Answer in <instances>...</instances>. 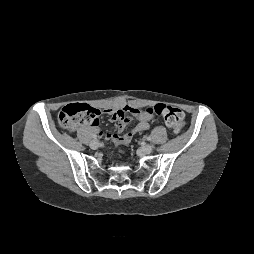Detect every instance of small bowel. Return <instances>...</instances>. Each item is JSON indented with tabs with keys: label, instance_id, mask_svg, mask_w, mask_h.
Listing matches in <instances>:
<instances>
[{
	"label": "small bowel",
	"instance_id": "obj_1",
	"mask_svg": "<svg viewBox=\"0 0 254 254\" xmlns=\"http://www.w3.org/2000/svg\"><path fill=\"white\" fill-rule=\"evenodd\" d=\"M99 114L103 113L110 117V120L117 123L119 134L103 133L100 129L99 119L91 123L92 129L99 135L105 137L108 141L119 143L121 138H126L130 142L136 133L149 129L152 115L146 113L145 110L137 106L128 105L125 101L119 100L114 106L104 109L103 111L97 109ZM131 117L138 120L137 125L129 132L120 134L127 127L131 121Z\"/></svg>",
	"mask_w": 254,
	"mask_h": 254
}]
</instances>
